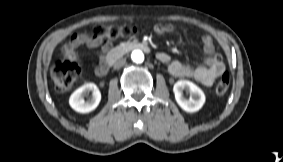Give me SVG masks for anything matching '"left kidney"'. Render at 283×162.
<instances>
[{
  "label": "left kidney",
  "mask_w": 283,
  "mask_h": 162,
  "mask_svg": "<svg viewBox=\"0 0 283 162\" xmlns=\"http://www.w3.org/2000/svg\"><path fill=\"white\" fill-rule=\"evenodd\" d=\"M183 90L190 95L189 99L182 94ZM173 92L178 105L186 112H196L202 108L205 103L204 92L194 83L188 80H179L174 84Z\"/></svg>",
  "instance_id": "1"
}]
</instances>
